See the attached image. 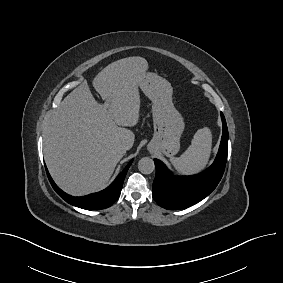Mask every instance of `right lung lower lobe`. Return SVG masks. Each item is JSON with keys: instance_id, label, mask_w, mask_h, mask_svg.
<instances>
[{"instance_id": "obj_1", "label": "right lung lower lobe", "mask_w": 283, "mask_h": 283, "mask_svg": "<svg viewBox=\"0 0 283 283\" xmlns=\"http://www.w3.org/2000/svg\"><path fill=\"white\" fill-rule=\"evenodd\" d=\"M131 160L128 165L124 168V170L117 176V178L114 180V182L107 187L106 189L93 193L87 196L83 197H73L65 192H63L52 180L50 174L47 171V175L49 178V181L53 187V189L57 192V194L64 199L69 204L86 209V210H101L110 207L120 196L123 182L126 176V173L132 164Z\"/></svg>"}]
</instances>
